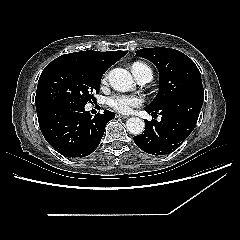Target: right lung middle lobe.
<instances>
[{
    "label": "right lung middle lobe",
    "mask_w": 240,
    "mask_h": 240,
    "mask_svg": "<svg viewBox=\"0 0 240 240\" xmlns=\"http://www.w3.org/2000/svg\"><path fill=\"white\" fill-rule=\"evenodd\" d=\"M102 74L70 60L57 61L43 70L37 85L36 108L57 102L85 106L99 92Z\"/></svg>",
    "instance_id": "1"
}]
</instances>
